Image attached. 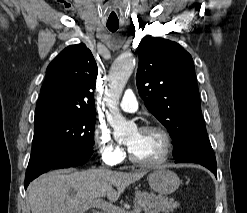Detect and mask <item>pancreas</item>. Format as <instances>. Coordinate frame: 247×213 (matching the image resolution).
Returning a JSON list of instances; mask_svg holds the SVG:
<instances>
[{
    "mask_svg": "<svg viewBox=\"0 0 247 213\" xmlns=\"http://www.w3.org/2000/svg\"><path fill=\"white\" fill-rule=\"evenodd\" d=\"M133 210L128 213H133L134 210L140 209H155L156 213L163 212L168 213L179 207V203L175 202L172 198H167L162 195H156L154 193H148L146 191H136L134 198Z\"/></svg>",
    "mask_w": 247,
    "mask_h": 213,
    "instance_id": "pancreas-1",
    "label": "pancreas"
}]
</instances>
